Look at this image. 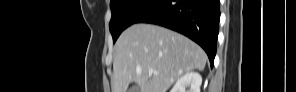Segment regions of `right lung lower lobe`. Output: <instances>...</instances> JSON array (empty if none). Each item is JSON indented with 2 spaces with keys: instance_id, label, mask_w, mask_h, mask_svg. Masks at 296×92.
Wrapping results in <instances>:
<instances>
[{
  "instance_id": "right-lung-lower-lobe-1",
  "label": "right lung lower lobe",
  "mask_w": 296,
  "mask_h": 92,
  "mask_svg": "<svg viewBox=\"0 0 296 92\" xmlns=\"http://www.w3.org/2000/svg\"><path fill=\"white\" fill-rule=\"evenodd\" d=\"M219 19V0H158L135 23L157 24L186 35L205 50L212 67Z\"/></svg>"
}]
</instances>
